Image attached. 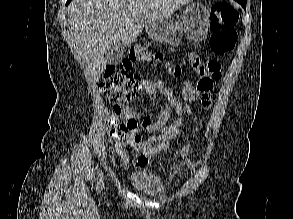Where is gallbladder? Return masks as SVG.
Returning <instances> with one entry per match:
<instances>
[{"label":"gallbladder","instance_id":"bac80fb5","mask_svg":"<svg viewBox=\"0 0 293 219\" xmlns=\"http://www.w3.org/2000/svg\"><path fill=\"white\" fill-rule=\"evenodd\" d=\"M125 47L122 42L111 45L106 52L107 65H117L124 56Z\"/></svg>","mask_w":293,"mask_h":219}]
</instances>
